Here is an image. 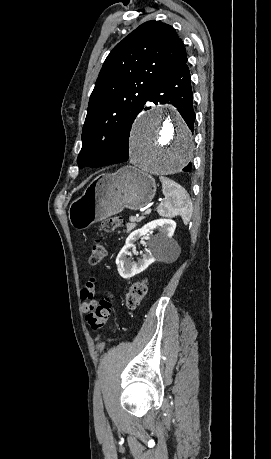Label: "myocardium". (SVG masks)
<instances>
[{
    "instance_id": "myocardium-1",
    "label": "myocardium",
    "mask_w": 271,
    "mask_h": 459,
    "mask_svg": "<svg viewBox=\"0 0 271 459\" xmlns=\"http://www.w3.org/2000/svg\"><path fill=\"white\" fill-rule=\"evenodd\" d=\"M105 156H106L105 154H100L98 157H99V158H103V157H105Z\"/></svg>"
}]
</instances>
